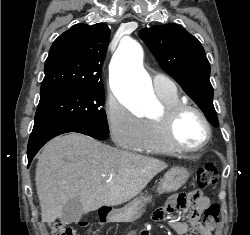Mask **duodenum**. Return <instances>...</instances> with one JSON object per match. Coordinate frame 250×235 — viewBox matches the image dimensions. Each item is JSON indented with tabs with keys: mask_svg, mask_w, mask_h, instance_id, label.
Segmentation results:
<instances>
[{
	"mask_svg": "<svg viewBox=\"0 0 250 235\" xmlns=\"http://www.w3.org/2000/svg\"><path fill=\"white\" fill-rule=\"evenodd\" d=\"M111 215H112V212L110 210L102 209L101 212H100L101 222H103V223L110 222Z\"/></svg>",
	"mask_w": 250,
	"mask_h": 235,
	"instance_id": "duodenum-1",
	"label": "duodenum"
}]
</instances>
